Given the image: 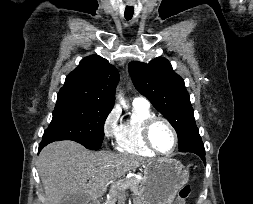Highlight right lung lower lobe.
I'll use <instances>...</instances> for the list:
<instances>
[{
    "instance_id": "right-lung-lower-lobe-1",
    "label": "right lung lower lobe",
    "mask_w": 253,
    "mask_h": 204,
    "mask_svg": "<svg viewBox=\"0 0 253 204\" xmlns=\"http://www.w3.org/2000/svg\"><path fill=\"white\" fill-rule=\"evenodd\" d=\"M51 143L50 141H44L42 140V142L40 143L39 145V151L44 147L46 146L47 144Z\"/></svg>"
}]
</instances>
